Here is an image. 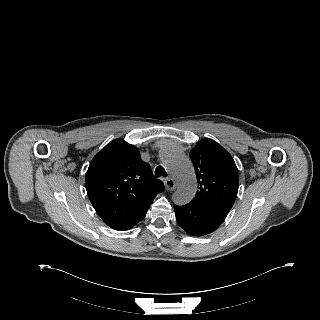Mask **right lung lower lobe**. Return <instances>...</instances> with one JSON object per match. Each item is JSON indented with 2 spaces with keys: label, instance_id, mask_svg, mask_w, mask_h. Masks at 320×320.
Returning <instances> with one entry per match:
<instances>
[{
  "label": "right lung lower lobe",
  "instance_id": "98d812e1",
  "mask_svg": "<svg viewBox=\"0 0 320 320\" xmlns=\"http://www.w3.org/2000/svg\"><path fill=\"white\" fill-rule=\"evenodd\" d=\"M146 212L139 213L137 215H134L132 217H129L123 220L108 222L107 225L115 230H120V231L128 230V229H131L134 225H136L139 221H141L146 215Z\"/></svg>",
  "mask_w": 320,
  "mask_h": 320
}]
</instances>
